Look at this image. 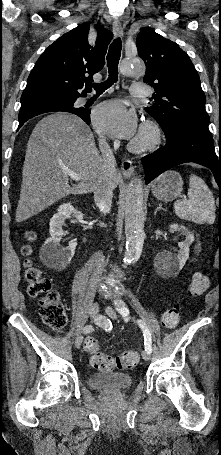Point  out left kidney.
Masks as SVG:
<instances>
[{"label": "left kidney", "instance_id": "left-kidney-1", "mask_svg": "<svg viewBox=\"0 0 221 455\" xmlns=\"http://www.w3.org/2000/svg\"><path fill=\"white\" fill-rule=\"evenodd\" d=\"M170 230L180 232L186 238L179 243L180 250L177 255L166 251L159 252L155 258V264L163 272L176 273L183 268L189 258V246L194 241V235L186 227L178 224H171Z\"/></svg>", "mask_w": 221, "mask_h": 455}]
</instances>
